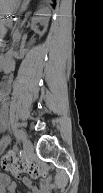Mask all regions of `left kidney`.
<instances>
[{
    "instance_id": "left-kidney-1",
    "label": "left kidney",
    "mask_w": 103,
    "mask_h": 193,
    "mask_svg": "<svg viewBox=\"0 0 103 193\" xmlns=\"http://www.w3.org/2000/svg\"><path fill=\"white\" fill-rule=\"evenodd\" d=\"M50 10L48 8H41L36 13L35 16L32 18V25L31 28L33 30L38 31L37 23L41 22L46 24L49 20ZM44 33V32H43Z\"/></svg>"
}]
</instances>
